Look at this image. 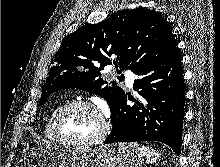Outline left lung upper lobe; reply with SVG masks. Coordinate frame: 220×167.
<instances>
[{
	"mask_svg": "<svg viewBox=\"0 0 220 167\" xmlns=\"http://www.w3.org/2000/svg\"><path fill=\"white\" fill-rule=\"evenodd\" d=\"M176 48L175 35L166 20L153 10L146 8L126 9L110 18L79 28L66 36L55 55L60 64L49 72L42 88L39 106L58 90L76 88L103 97L110 110L124 95V91L107 84L100 71L112 63L118 74L125 69L135 72L157 61ZM119 81L124 76L117 77Z\"/></svg>",
	"mask_w": 220,
	"mask_h": 167,
	"instance_id": "5c2ea615",
	"label": "left lung upper lobe"
}]
</instances>
